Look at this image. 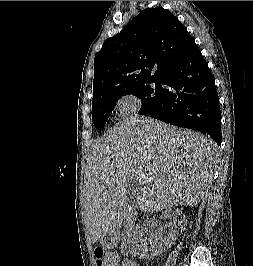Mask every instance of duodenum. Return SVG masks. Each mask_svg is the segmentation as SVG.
Listing matches in <instances>:
<instances>
[{
    "mask_svg": "<svg viewBox=\"0 0 253 266\" xmlns=\"http://www.w3.org/2000/svg\"><path fill=\"white\" fill-rule=\"evenodd\" d=\"M104 239H105L106 244H111L113 243V240L117 238L113 234L108 233L104 236Z\"/></svg>",
    "mask_w": 253,
    "mask_h": 266,
    "instance_id": "410a0bca",
    "label": "duodenum"
}]
</instances>
